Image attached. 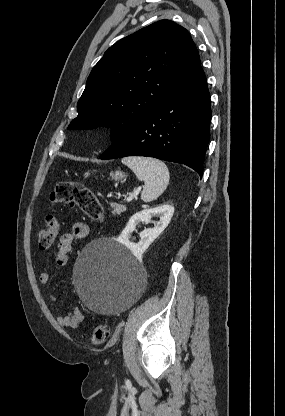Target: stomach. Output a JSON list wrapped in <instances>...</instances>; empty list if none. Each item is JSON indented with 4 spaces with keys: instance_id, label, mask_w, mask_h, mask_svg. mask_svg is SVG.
<instances>
[{
    "instance_id": "0dacf381",
    "label": "stomach",
    "mask_w": 285,
    "mask_h": 416,
    "mask_svg": "<svg viewBox=\"0 0 285 416\" xmlns=\"http://www.w3.org/2000/svg\"><path fill=\"white\" fill-rule=\"evenodd\" d=\"M111 178L112 180H115V182H120V180H124L125 174L124 172H119V170H117V172H113Z\"/></svg>"
}]
</instances>
